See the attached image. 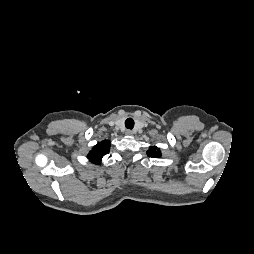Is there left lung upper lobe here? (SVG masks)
<instances>
[{"label": "left lung upper lobe", "mask_w": 254, "mask_h": 254, "mask_svg": "<svg viewBox=\"0 0 254 254\" xmlns=\"http://www.w3.org/2000/svg\"><path fill=\"white\" fill-rule=\"evenodd\" d=\"M147 155L149 157L157 158V157L161 156V152H160V150L157 149L156 146H153V147L149 148V150L147 151Z\"/></svg>", "instance_id": "5c2ea615"}]
</instances>
